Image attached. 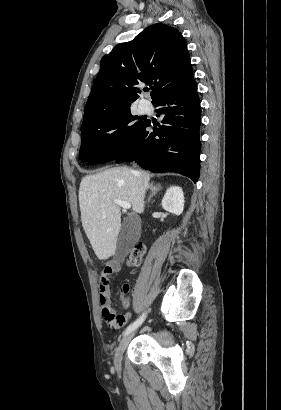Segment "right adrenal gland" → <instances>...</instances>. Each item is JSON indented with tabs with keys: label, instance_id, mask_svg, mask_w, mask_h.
Here are the masks:
<instances>
[{
	"label": "right adrenal gland",
	"instance_id": "2a0ac1e0",
	"mask_svg": "<svg viewBox=\"0 0 281 410\" xmlns=\"http://www.w3.org/2000/svg\"><path fill=\"white\" fill-rule=\"evenodd\" d=\"M150 189H151V194H150V196H149V198H148V202H150L151 198H152L153 196H155V195L157 194V192L162 189V187H161L160 184H157V185L151 184V185H150Z\"/></svg>",
	"mask_w": 281,
	"mask_h": 410
}]
</instances>
